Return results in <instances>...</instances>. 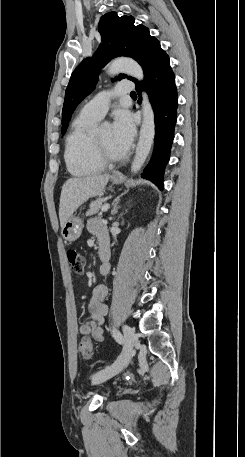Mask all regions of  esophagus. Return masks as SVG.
Wrapping results in <instances>:
<instances>
[{"label":"esophagus","mask_w":245,"mask_h":457,"mask_svg":"<svg viewBox=\"0 0 245 457\" xmlns=\"http://www.w3.org/2000/svg\"><path fill=\"white\" fill-rule=\"evenodd\" d=\"M113 177H122V174L120 172H114L112 174Z\"/></svg>","instance_id":"esophagus-1"}]
</instances>
